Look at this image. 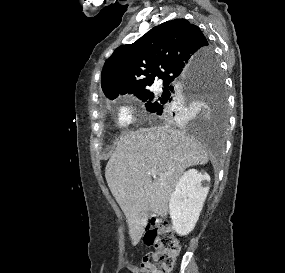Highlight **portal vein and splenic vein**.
Instances as JSON below:
<instances>
[{"instance_id": "portal-vein-and-splenic-vein-1", "label": "portal vein and splenic vein", "mask_w": 285, "mask_h": 273, "mask_svg": "<svg viewBox=\"0 0 285 273\" xmlns=\"http://www.w3.org/2000/svg\"><path fill=\"white\" fill-rule=\"evenodd\" d=\"M149 174L152 175L153 177H155L157 173L155 171H152Z\"/></svg>"}]
</instances>
